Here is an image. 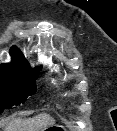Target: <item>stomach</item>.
Listing matches in <instances>:
<instances>
[{
    "mask_svg": "<svg viewBox=\"0 0 117 131\" xmlns=\"http://www.w3.org/2000/svg\"><path fill=\"white\" fill-rule=\"evenodd\" d=\"M45 130H48V131H61V130H65V128L62 125H51V126L47 127Z\"/></svg>",
    "mask_w": 117,
    "mask_h": 131,
    "instance_id": "stomach-1",
    "label": "stomach"
}]
</instances>
